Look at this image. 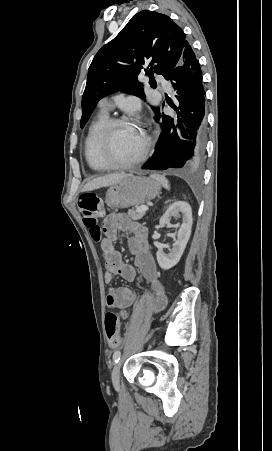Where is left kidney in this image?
<instances>
[{"instance_id": "1", "label": "left kidney", "mask_w": 272, "mask_h": 451, "mask_svg": "<svg viewBox=\"0 0 272 451\" xmlns=\"http://www.w3.org/2000/svg\"><path fill=\"white\" fill-rule=\"evenodd\" d=\"M182 218L183 222L178 229L177 239L172 243L169 253L163 251H156L157 261L163 269H170L173 265L178 263L190 237L191 227L193 224L191 206L187 202H174L160 218V226H167L169 218Z\"/></svg>"}]
</instances>
